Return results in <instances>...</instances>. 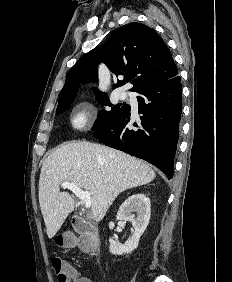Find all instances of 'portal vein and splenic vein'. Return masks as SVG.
Segmentation results:
<instances>
[{"instance_id": "1", "label": "portal vein and splenic vein", "mask_w": 232, "mask_h": 282, "mask_svg": "<svg viewBox=\"0 0 232 282\" xmlns=\"http://www.w3.org/2000/svg\"><path fill=\"white\" fill-rule=\"evenodd\" d=\"M61 187L72 191L81 200L86 208L91 206V195L88 191H83L80 187L70 182H62Z\"/></svg>"}]
</instances>
